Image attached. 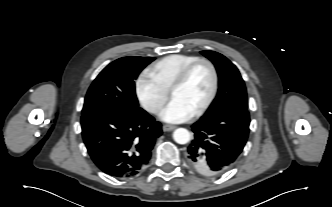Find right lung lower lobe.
Listing matches in <instances>:
<instances>
[{
	"mask_svg": "<svg viewBox=\"0 0 332 207\" xmlns=\"http://www.w3.org/2000/svg\"><path fill=\"white\" fill-rule=\"evenodd\" d=\"M82 137L100 170L125 178L136 175L149 162L161 123L139 108L131 112L113 109L82 115Z\"/></svg>",
	"mask_w": 332,
	"mask_h": 207,
	"instance_id": "obj_1",
	"label": "right lung lower lobe"
}]
</instances>
